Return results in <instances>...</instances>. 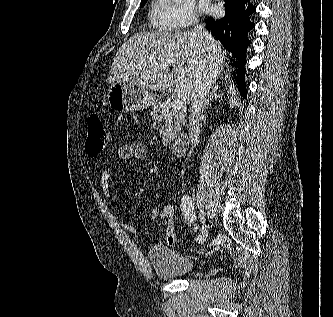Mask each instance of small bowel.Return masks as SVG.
Instances as JSON below:
<instances>
[{
	"mask_svg": "<svg viewBox=\"0 0 333 317\" xmlns=\"http://www.w3.org/2000/svg\"><path fill=\"white\" fill-rule=\"evenodd\" d=\"M115 158L120 161H142L148 158V151L146 145L141 141H131L127 144L119 146L115 153ZM100 184L104 197L107 200H111V189L109 184V171L107 168H103L100 176ZM159 207L152 209L150 212V218L155 219L159 214ZM121 226L126 231L131 233H138L140 229L133 223L122 220Z\"/></svg>",
	"mask_w": 333,
	"mask_h": 317,
	"instance_id": "obj_1",
	"label": "small bowel"
}]
</instances>
